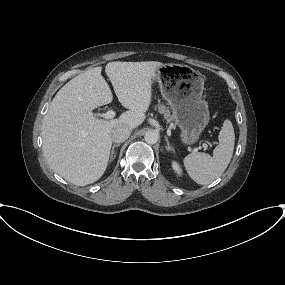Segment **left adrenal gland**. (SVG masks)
Wrapping results in <instances>:
<instances>
[{"instance_id": "a2214340", "label": "left adrenal gland", "mask_w": 285, "mask_h": 285, "mask_svg": "<svg viewBox=\"0 0 285 285\" xmlns=\"http://www.w3.org/2000/svg\"><path fill=\"white\" fill-rule=\"evenodd\" d=\"M165 140H166V149H167V151H172V152H174V148L172 147V146H170V144H169V141H168V138L167 137H165Z\"/></svg>"}]
</instances>
